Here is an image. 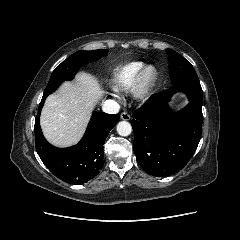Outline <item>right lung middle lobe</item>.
Here are the masks:
<instances>
[{
    "instance_id": "right-lung-middle-lobe-1",
    "label": "right lung middle lobe",
    "mask_w": 240,
    "mask_h": 240,
    "mask_svg": "<svg viewBox=\"0 0 240 240\" xmlns=\"http://www.w3.org/2000/svg\"><path fill=\"white\" fill-rule=\"evenodd\" d=\"M107 49L93 51L79 50L64 60L52 73L43 95L48 96L63 82L71 80L79 68L105 56Z\"/></svg>"
}]
</instances>
